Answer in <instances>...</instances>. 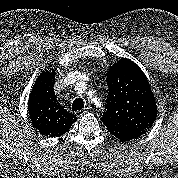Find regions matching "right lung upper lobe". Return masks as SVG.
<instances>
[{"label": "right lung upper lobe", "mask_w": 178, "mask_h": 178, "mask_svg": "<svg viewBox=\"0 0 178 178\" xmlns=\"http://www.w3.org/2000/svg\"><path fill=\"white\" fill-rule=\"evenodd\" d=\"M55 70L43 71L29 95L28 112L32 125L43 136L58 137L66 133L77 120L56 100L54 92Z\"/></svg>", "instance_id": "obj_1"}]
</instances>
